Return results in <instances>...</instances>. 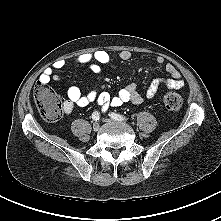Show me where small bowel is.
<instances>
[{
    "label": "small bowel",
    "instance_id": "small-bowel-1",
    "mask_svg": "<svg viewBox=\"0 0 221 221\" xmlns=\"http://www.w3.org/2000/svg\"><path fill=\"white\" fill-rule=\"evenodd\" d=\"M131 57V52L127 50L114 54L105 50H97L76 56L74 62L80 65H88L94 74L99 75L101 73L102 65L109 64L113 59L128 61ZM156 63L162 65L164 63V58L158 56L156 58ZM65 65L66 60L61 59L56 61L52 67H48L44 70L39 77V81L44 83H49L51 80L60 81L61 77L55 71L63 68ZM165 71L168 73L169 78L166 80H153L147 87V98H154L161 85H165L167 88L175 90L181 89L184 86V81L173 64L167 63L165 65ZM142 101L143 97L137 91L134 84H129L120 89L115 95L101 91L99 88H94L87 94H82L78 87L70 86L67 90V99L64 101L63 108L66 115H71L75 107H86L91 103H97L105 110L109 106L119 107L128 102L140 104Z\"/></svg>",
    "mask_w": 221,
    "mask_h": 221
}]
</instances>
